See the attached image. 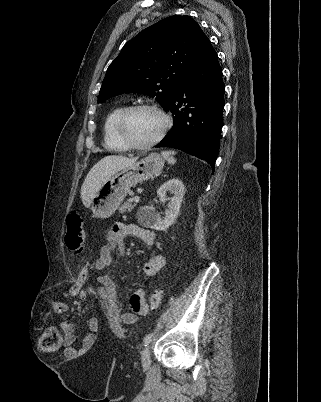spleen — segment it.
I'll return each instance as SVG.
<instances>
[{
    "label": "spleen",
    "mask_w": 321,
    "mask_h": 402,
    "mask_svg": "<svg viewBox=\"0 0 321 402\" xmlns=\"http://www.w3.org/2000/svg\"><path fill=\"white\" fill-rule=\"evenodd\" d=\"M162 156L164 157V159L167 160V162L169 164H175L176 159L174 158V155L176 154L175 151H162L161 152Z\"/></svg>",
    "instance_id": "3e777b00"
}]
</instances>
